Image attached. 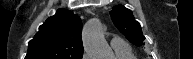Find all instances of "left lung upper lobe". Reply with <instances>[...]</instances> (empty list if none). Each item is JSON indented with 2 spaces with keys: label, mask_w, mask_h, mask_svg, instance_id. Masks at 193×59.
I'll return each instance as SVG.
<instances>
[{
  "label": "left lung upper lobe",
  "mask_w": 193,
  "mask_h": 59,
  "mask_svg": "<svg viewBox=\"0 0 193 59\" xmlns=\"http://www.w3.org/2000/svg\"><path fill=\"white\" fill-rule=\"evenodd\" d=\"M111 19L117 29L133 44H143V36L140 23L134 19L132 11L122 5L115 6L110 12Z\"/></svg>",
  "instance_id": "1"
}]
</instances>
